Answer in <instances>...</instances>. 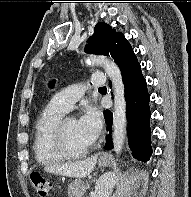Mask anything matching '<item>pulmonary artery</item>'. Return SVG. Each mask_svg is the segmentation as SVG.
I'll use <instances>...</instances> for the list:
<instances>
[{
  "mask_svg": "<svg viewBox=\"0 0 191 197\" xmlns=\"http://www.w3.org/2000/svg\"><path fill=\"white\" fill-rule=\"evenodd\" d=\"M106 82V73L101 72L93 75L91 84H73L62 91L55 94L52 98V102L60 107L65 112L72 109L74 103L78 101L88 88L102 86Z\"/></svg>",
  "mask_w": 191,
  "mask_h": 197,
  "instance_id": "obj_1",
  "label": "pulmonary artery"
}]
</instances>
